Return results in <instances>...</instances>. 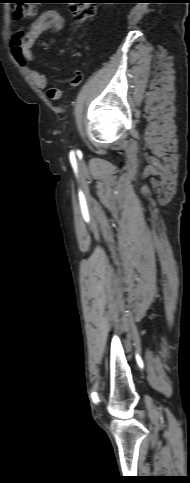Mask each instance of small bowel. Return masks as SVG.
<instances>
[{"label":"small bowel","instance_id":"1","mask_svg":"<svg viewBox=\"0 0 190 483\" xmlns=\"http://www.w3.org/2000/svg\"><path fill=\"white\" fill-rule=\"evenodd\" d=\"M63 27L64 19L62 16L55 10H46L25 31L21 29L15 30L9 42L13 59L18 65L26 69L31 80L38 88L46 89L47 96L51 99H58L61 96V89L56 86L48 87L47 76L29 68L27 64L34 61L32 49L38 38L46 31L59 32ZM80 80L81 73L77 71L73 77V83H78Z\"/></svg>","mask_w":190,"mask_h":483}]
</instances>
